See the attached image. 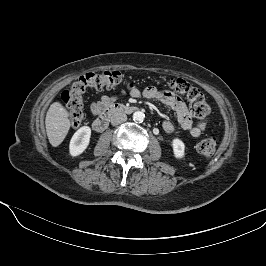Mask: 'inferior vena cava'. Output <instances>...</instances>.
<instances>
[{"instance_id": "1", "label": "inferior vena cava", "mask_w": 266, "mask_h": 266, "mask_svg": "<svg viewBox=\"0 0 266 266\" xmlns=\"http://www.w3.org/2000/svg\"><path fill=\"white\" fill-rule=\"evenodd\" d=\"M126 120H127V115L123 112H117L111 116V124L114 126L121 124L125 122Z\"/></svg>"}]
</instances>
